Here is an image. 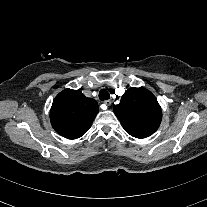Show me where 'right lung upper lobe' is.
I'll return each instance as SVG.
<instances>
[{"mask_svg": "<svg viewBox=\"0 0 207 207\" xmlns=\"http://www.w3.org/2000/svg\"><path fill=\"white\" fill-rule=\"evenodd\" d=\"M98 110L94 99L87 98L79 90L66 89L54 99L50 121L60 135L76 139L89 130Z\"/></svg>", "mask_w": 207, "mask_h": 207, "instance_id": "obj_1", "label": "right lung upper lobe"}]
</instances>
